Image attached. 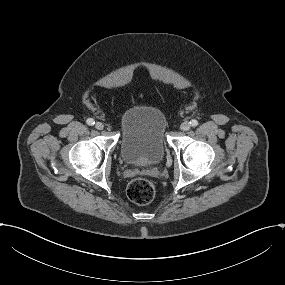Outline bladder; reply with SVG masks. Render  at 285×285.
Returning <instances> with one entry per match:
<instances>
[{
    "instance_id": "bladder-1",
    "label": "bladder",
    "mask_w": 285,
    "mask_h": 285,
    "mask_svg": "<svg viewBox=\"0 0 285 285\" xmlns=\"http://www.w3.org/2000/svg\"><path fill=\"white\" fill-rule=\"evenodd\" d=\"M167 121L162 110L140 106L124 111L120 122L123 161L135 167H151L166 154Z\"/></svg>"
}]
</instances>
